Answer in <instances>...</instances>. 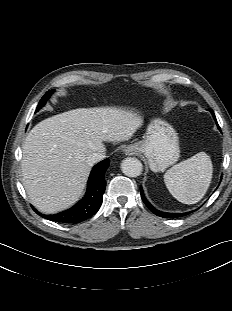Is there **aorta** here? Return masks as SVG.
Instances as JSON below:
<instances>
[{"mask_svg":"<svg viewBox=\"0 0 232 311\" xmlns=\"http://www.w3.org/2000/svg\"><path fill=\"white\" fill-rule=\"evenodd\" d=\"M142 163L134 157H127L121 162V170L128 177H137L142 173Z\"/></svg>","mask_w":232,"mask_h":311,"instance_id":"aorta-1","label":"aorta"}]
</instances>
